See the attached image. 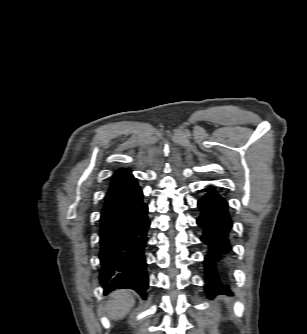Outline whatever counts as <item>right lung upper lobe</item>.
<instances>
[{
	"label": "right lung upper lobe",
	"mask_w": 307,
	"mask_h": 334,
	"mask_svg": "<svg viewBox=\"0 0 307 334\" xmlns=\"http://www.w3.org/2000/svg\"><path fill=\"white\" fill-rule=\"evenodd\" d=\"M130 175H131L130 170H124V169L118 170L113 176L111 186L123 181L124 179H126Z\"/></svg>",
	"instance_id": "obj_1"
}]
</instances>
